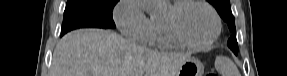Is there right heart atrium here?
<instances>
[{
  "instance_id": "1",
  "label": "right heart atrium",
  "mask_w": 287,
  "mask_h": 76,
  "mask_svg": "<svg viewBox=\"0 0 287 76\" xmlns=\"http://www.w3.org/2000/svg\"><path fill=\"white\" fill-rule=\"evenodd\" d=\"M113 17L119 31L134 41L144 43L149 32V20L144 14L140 0H120Z\"/></svg>"
}]
</instances>
